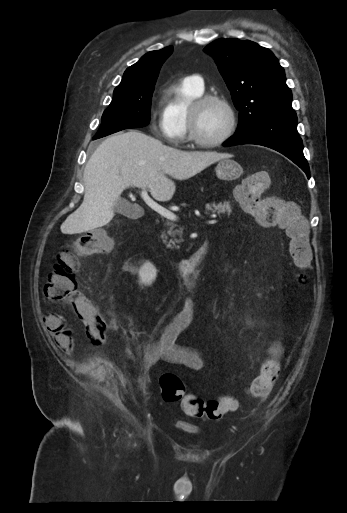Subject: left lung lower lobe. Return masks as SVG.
I'll list each match as a JSON object with an SVG mask.
<instances>
[{"instance_id":"0a47b994","label":"left lung lower lobe","mask_w":347,"mask_h":513,"mask_svg":"<svg viewBox=\"0 0 347 513\" xmlns=\"http://www.w3.org/2000/svg\"><path fill=\"white\" fill-rule=\"evenodd\" d=\"M256 144L274 149L297 164L310 178L303 143L297 132V116H274L261 120L243 133L235 134L223 146Z\"/></svg>"}]
</instances>
